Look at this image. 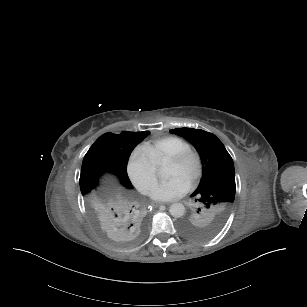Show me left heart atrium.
<instances>
[{
  "mask_svg": "<svg viewBox=\"0 0 307 307\" xmlns=\"http://www.w3.org/2000/svg\"><path fill=\"white\" fill-rule=\"evenodd\" d=\"M189 182L185 178L175 175L167 180L152 182L148 188V195L156 201L167 202L182 197L189 190Z\"/></svg>",
  "mask_w": 307,
  "mask_h": 307,
  "instance_id": "1",
  "label": "left heart atrium"
}]
</instances>
